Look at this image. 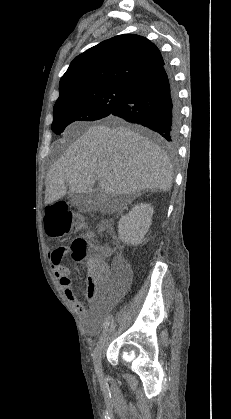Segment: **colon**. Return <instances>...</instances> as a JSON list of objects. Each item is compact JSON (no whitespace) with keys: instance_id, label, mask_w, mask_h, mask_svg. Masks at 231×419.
Segmentation results:
<instances>
[{"instance_id":"obj_1","label":"colon","mask_w":231,"mask_h":419,"mask_svg":"<svg viewBox=\"0 0 231 419\" xmlns=\"http://www.w3.org/2000/svg\"><path fill=\"white\" fill-rule=\"evenodd\" d=\"M46 225L51 233L67 234L72 231L87 230L83 217L73 213L65 202H55L47 208ZM108 254L105 246L93 245L84 238H77L71 244V256L76 261L89 258L87 264L88 283L97 288L100 282L112 283L115 289L128 279L127 266L123 261H116L111 268L104 262Z\"/></svg>"}]
</instances>
